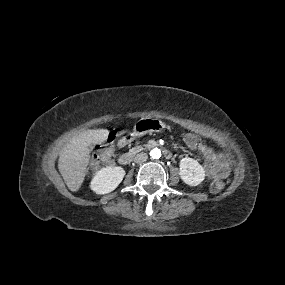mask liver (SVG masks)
Segmentation results:
<instances>
[{"label": "liver", "instance_id": "liver-1", "mask_svg": "<svg viewBox=\"0 0 285 285\" xmlns=\"http://www.w3.org/2000/svg\"><path fill=\"white\" fill-rule=\"evenodd\" d=\"M108 135L107 129H90L79 133L67 145L59 169L71 191H77L84 181L90 159L89 147L105 141Z\"/></svg>", "mask_w": 285, "mask_h": 285}]
</instances>
